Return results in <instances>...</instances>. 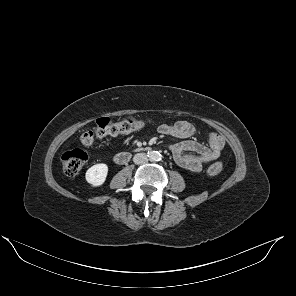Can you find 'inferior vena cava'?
I'll list each match as a JSON object with an SVG mask.
<instances>
[{
    "instance_id": "obj_1",
    "label": "inferior vena cava",
    "mask_w": 296,
    "mask_h": 296,
    "mask_svg": "<svg viewBox=\"0 0 296 296\" xmlns=\"http://www.w3.org/2000/svg\"><path fill=\"white\" fill-rule=\"evenodd\" d=\"M133 161L135 164H145L148 162V157L144 153H137L134 155Z\"/></svg>"
}]
</instances>
